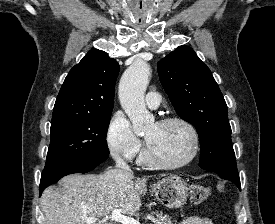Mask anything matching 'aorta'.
I'll use <instances>...</instances> for the list:
<instances>
[{
    "instance_id": "aorta-1",
    "label": "aorta",
    "mask_w": 275,
    "mask_h": 224,
    "mask_svg": "<svg viewBox=\"0 0 275 224\" xmlns=\"http://www.w3.org/2000/svg\"><path fill=\"white\" fill-rule=\"evenodd\" d=\"M150 70L147 62L136 61L126 69L119 83L120 103L137 135L144 133L154 123V117L148 112L144 102Z\"/></svg>"
}]
</instances>
